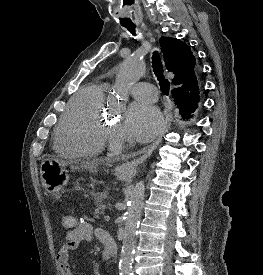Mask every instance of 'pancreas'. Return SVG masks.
<instances>
[{"label":"pancreas","mask_w":263,"mask_h":275,"mask_svg":"<svg viewBox=\"0 0 263 275\" xmlns=\"http://www.w3.org/2000/svg\"><path fill=\"white\" fill-rule=\"evenodd\" d=\"M93 197H94L96 205H97V208L94 212V217L96 219H99L100 215L103 214V210L105 208V205L103 204V201L106 198V196H105L104 193L97 192V193H93Z\"/></svg>","instance_id":"obj_1"}]
</instances>
